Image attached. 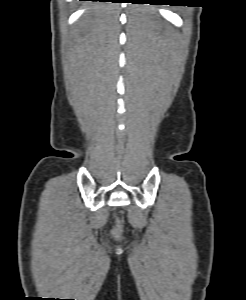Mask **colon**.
I'll use <instances>...</instances> for the list:
<instances>
[{
    "mask_svg": "<svg viewBox=\"0 0 246 300\" xmlns=\"http://www.w3.org/2000/svg\"><path fill=\"white\" fill-rule=\"evenodd\" d=\"M120 232H121V224H120V222H118L117 226L112 231V235L117 237V236H119Z\"/></svg>",
    "mask_w": 246,
    "mask_h": 300,
    "instance_id": "obj_1",
    "label": "colon"
}]
</instances>
